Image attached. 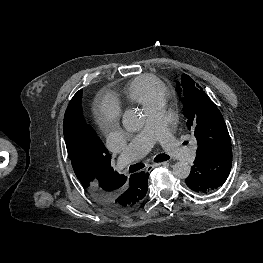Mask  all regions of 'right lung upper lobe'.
Listing matches in <instances>:
<instances>
[{"label": "right lung upper lobe", "mask_w": 263, "mask_h": 263, "mask_svg": "<svg viewBox=\"0 0 263 263\" xmlns=\"http://www.w3.org/2000/svg\"><path fill=\"white\" fill-rule=\"evenodd\" d=\"M77 93L67 109L72 107ZM65 119L66 114L63 132L68 156L77 178L89 190L91 196H110L122 190L129 196V202L120 212L137 207L146 195V187L133 182V175L126 177L113 170L108 150L91 127L88 126L87 130L80 132L70 127Z\"/></svg>", "instance_id": "obj_1"}]
</instances>
